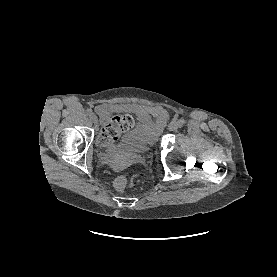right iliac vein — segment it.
<instances>
[{"label": "right iliac vein", "mask_w": 277, "mask_h": 277, "mask_svg": "<svg viewBox=\"0 0 277 277\" xmlns=\"http://www.w3.org/2000/svg\"><path fill=\"white\" fill-rule=\"evenodd\" d=\"M90 118H91L92 122H93L95 125L98 123V118H97V116H96L95 114H92V115L90 116Z\"/></svg>", "instance_id": "1"}]
</instances>
